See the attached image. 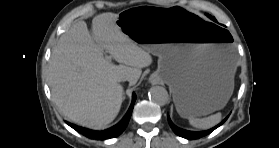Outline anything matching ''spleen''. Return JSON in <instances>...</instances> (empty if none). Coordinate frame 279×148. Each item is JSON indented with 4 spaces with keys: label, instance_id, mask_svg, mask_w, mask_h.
<instances>
[{
    "label": "spleen",
    "instance_id": "spleen-1",
    "mask_svg": "<svg viewBox=\"0 0 279 148\" xmlns=\"http://www.w3.org/2000/svg\"><path fill=\"white\" fill-rule=\"evenodd\" d=\"M221 113L218 112L214 115H211L206 118H195V117H190L189 118V123L196 128L200 129H208L211 128L215 125H217L221 121Z\"/></svg>",
    "mask_w": 279,
    "mask_h": 148
}]
</instances>
